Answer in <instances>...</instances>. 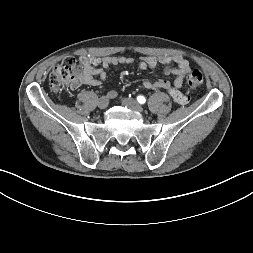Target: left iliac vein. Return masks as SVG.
Segmentation results:
<instances>
[{
    "label": "left iliac vein",
    "instance_id": "1",
    "mask_svg": "<svg viewBox=\"0 0 253 253\" xmlns=\"http://www.w3.org/2000/svg\"><path fill=\"white\" fill-rule=\"evenodd\" d=\"M122 104L126 107H128L131 110H134L136 112L142 113L144 112V108L139 104L136 100L130 99V98H124L122 99Z\"/></svg>",
    "mask_w": 253,
    "mask_h": 253
}]
</instances>
